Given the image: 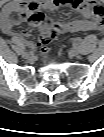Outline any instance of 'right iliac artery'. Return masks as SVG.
<instances>
[{"mask_svg":"<svg viewBox=\"0 0 104 137\" xmlns=\"http://www.w3.org/2000/svg\"><path fill=\"white\" fill-rule=\"evenodd\" d=\"M22 50H26L28 52H31V49H29L28 47H22Z\"/></svg>","mask_w":104,"mask_h":137,"instance_id":"obj_1","label":"right iliac artery"}]
</instances>
